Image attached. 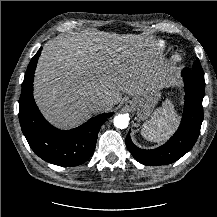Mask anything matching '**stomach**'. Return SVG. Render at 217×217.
<instances>
[{
	"label": "stomach",
	"instance_id": "0dacf381",
	"mask_svg": "<svg viewBox=\"0 0 217 217\" xmlns=\"http://www.w3.org/2000/svg\"><path fill=\"white\" fill-rule=\"evenodd\" d=\"M160 98L157 90L144 91L140 95H135L129 104L137 112L139 120H146L150 117Z\"/></svg>",
	"mask_w": 217,
	"mask_h": 217
}]
</instances>
